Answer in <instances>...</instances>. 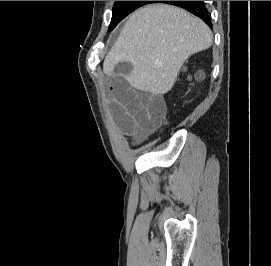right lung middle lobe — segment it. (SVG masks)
Here are the masks:
<instances>
[{
  "label": "right lung middle lobe",
  "instance_id": "obj_1",
  "mask_svg": "<svg viewBox=\"0 0 271 266\" xmlns=\"http://www.w3.org/2000/svg\"><path fill=\"white\" fill-rule=\"evenodd\" d=\"M157 1H116L113 7V15L108 31H112L116 25L135 9Z\"/></svg>",
  "mask_w": 271,
  "mask_h": 266
}]
</instances>
